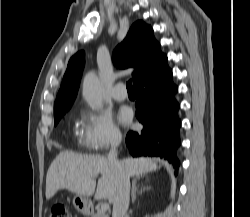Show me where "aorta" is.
I'll list each match as a JSON object with an SVG mask.
<instances>
[{
  "label": "aorta",
  "instance_id": "obj_1",
  "mask_svg": "<svg viewBox=\"0 0 250 217\" xmlns=\"http://www.w3.org/2000/svg\"><path fill=\"white\" fill-rule=\"evenodd\" d=\"M83 97L93 110L102 108V84L93 72L87 73L83 80Z\"/></svg>",
  "mask_w": 250,
  "mask_h": 217
}]
</instances>
